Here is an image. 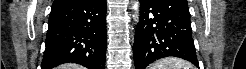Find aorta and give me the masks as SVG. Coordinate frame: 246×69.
Masks as SVG:
<instances>
[{
	"label": "aorta",
	"instance_id": "aorta-1",
	"mask_svg": "<svg viewBox=\"0 0 246 69\" xmlns=\"http://www.w3.org/2000/svg\"><path fill=\"white\" fill-rule=\"evenodd\" d=\"M133 9L136 11V20L138 19V10H139V2L135 1L133 5Z\"/></svg>",
	"mask_w": 246,
	"mask_h": 69
}]
</instances>
